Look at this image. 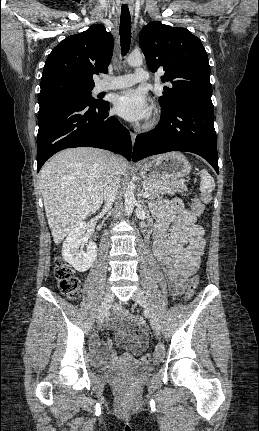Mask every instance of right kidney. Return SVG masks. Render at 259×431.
Masks as SVG:
<instances>
[{"label":"right kidney","mask_w":259,"mask_h":431,"mask_svg":"<svg viewBox=\"0 0 259 431\" xmlns=\"http://www.w3.org/2000/svg\"><path fill=\"white\" fill-rule=\"evenodd\" d=\"M86 227V222L77 224L68 234L62 247L64 260L79 272H85L93 265L98 251L97 245L93 241H88L85 236ZM84 245L87 246L86 252L80 248Z\"/></svg>","instance_id":"obj_1"}]
</instances>
